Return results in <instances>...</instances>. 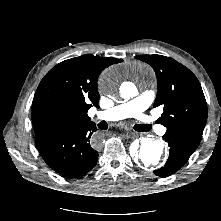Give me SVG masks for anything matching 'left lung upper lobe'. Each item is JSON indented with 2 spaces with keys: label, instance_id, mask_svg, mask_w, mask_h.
Segmentation results:
<instances>
[{
  "label": "left lung upper lobe",
  "instance_id": "left-lung-upper-lobe-1",
  "mask_svg": "<svg viewBox=\"0 0 221 221\" xmlns=\"http://www.w3.org/2000/svg\"><path fill=\"white\" fill-rule=\"evenodd\" d=\"M155 71L158 93L154 107L163 106L166 134L200 142L207 121V103L196 76L184 65L161 55H138Z\"/></svg>",
  "mask_w": 221,
  "mask_h": 221
}]
</instances>
